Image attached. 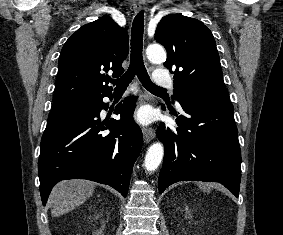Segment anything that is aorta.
Returning a JSON list of instances; mask_svg holds the SVG:
<instances>
[{
  "label": "aorta",
  "instance_id": "obj_1",
  "mask_svg": "<svg viewBox=\"0 0 283 235\" xmlns=\"http://www.w3.org/2000/svg\"><path fill=\"white\" fill-rule=\"evenodd\" d=\"M148 58L153 62H163L166 59V52L161 45L152 44L146 49ZM164 155V147L160 142L153 143L145 156V168L149 172L155 171L160 165Z\"/></svg>",
  "mask_w": 283,
  "mask_h": 235
}]
</instances>
